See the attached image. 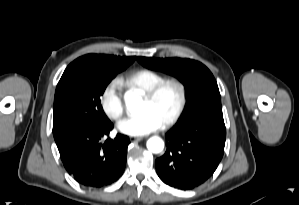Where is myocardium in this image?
I'll list each match as a JSON object with an SVG mask.
<instances>
[{
  "instance_id": "myocardium-1",
  "label": "myocardium",
  "mask_w": 299,
  "mask_h": 205,
  "mask_svg": "<svg viewBox=\"0 0 299 205\" xmlns=\"http://www.w3.org/2000/svg\"><path fill=\"white\" fill-rule=\"evenodd\" d=\"M168 87H174L178 91V101L173 113L162 123V127L167 128L175 124L182 116L188 99L186 85L177 78H168L156 84L151 89L143 93V98L147 101H154Z\"/></svg>"
}]
</instances>
